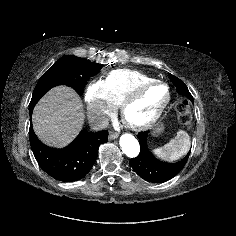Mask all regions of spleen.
Segmentation results:
<instances>
[{
    "instance_id": "obj_1",
    "label": "spleen",
    "mask_w": 236,
    "mask_h": 236,
    "mask_svg": "<svg viewBox=\"0 0 236 236\" xmlns=\"http://www.w3.org/2000/svg\"><path fill=\"white\" fill-rule=\"evenodd\" d=\"M191 141L188 133L179 130L174 139L162 147L153 149V154L164 161L173 162L179 160L190 149Z\"/></svg>"
}]
</instances>
